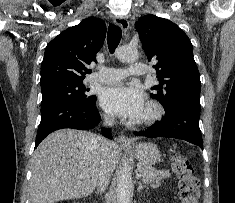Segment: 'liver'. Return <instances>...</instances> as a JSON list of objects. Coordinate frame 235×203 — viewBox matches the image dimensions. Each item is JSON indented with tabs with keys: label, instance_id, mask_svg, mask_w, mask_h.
<instances>
[{
	"label": "liver",
	"instance_id": "obj_1",
	"mask_svg": "<svg viewBox=\"0 0 235 203\" xmlns=\"http://www.w3.org/2000/svg\"><path fill=\"white\" fill-rule=\"evenodd\" d=\"M97 135L61 129L48 135L36 148L31 161L32 203H56L90 195L97 185L101 161L114 171L119 147L109 142L106 155Z\"/></svg>",
	"mask_w": 235,
	"mask_h": 203
}]
</instances>
